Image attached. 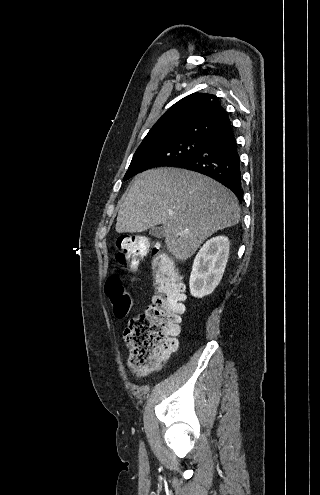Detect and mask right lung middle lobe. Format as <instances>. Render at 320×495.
I'll list each match as a JSON object with an SVG mask.
<instances>
[{
  "instance_id": "1",
  "label": "right lung middle lobe",
  "mask_w": 320,
  "mask_h": 495,
  "mask_svg": "<svg viewBox=\"0 0 320 495\" xmlns=\"http://www.w3.org/2000/svg\"><path fill=\"white\" fill-rule=\"evenodd\" d=\"M206 139L185 138L150 146H139L124 180L153 167L175 166L192 157Z\"/></svg>"
}]
</instances>
